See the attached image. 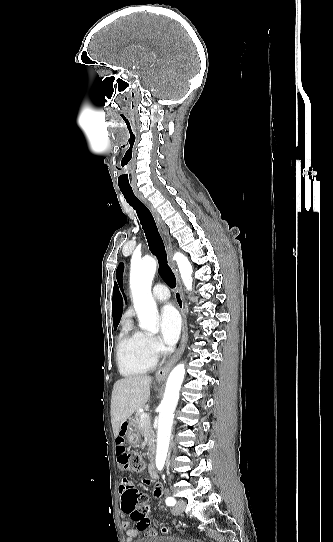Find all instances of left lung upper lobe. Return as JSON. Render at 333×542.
Listing matches in <instances>:
<instances>
[{"label": "left lung upper lobe", "instance_id": "obj_1", "mask_svg": "<svg viewBox=\"0 0 333 542\" xmlns=\"http://www.w3.org/2000/svg\"><path fill=\"white\" fill-rule=\"evenodd\" d=\"M123 270H124V264L123 263H120L118 265V268H117V271H116V276L118 278V282L122 288V274H123Z\"/></svg>", "mask_w": 333, "mask_h": 542}]
</instances>
